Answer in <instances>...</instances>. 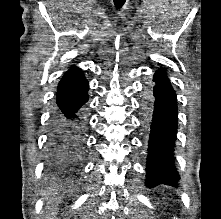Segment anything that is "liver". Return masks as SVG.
<instances>
[{
    "mask_svg": "<svg viewBox=\"0 0 221 219\" xmlns=\"http://www.w3.org/2000/svg\"><path fill=\"white\" fill-rule=\"evenodd\" d=\"M52 195V196H51ZM45 199H46V209H48V211L50 213H54L57 210V205L60 202V198L56 197L54 195L53 192H51L50 194H45Z\"/></svg>",
    "mask_w": 221,
    "mask_h": 219,
    "instance_id": "liver-1",
    "label": "liver"
}]
</instances>
